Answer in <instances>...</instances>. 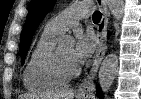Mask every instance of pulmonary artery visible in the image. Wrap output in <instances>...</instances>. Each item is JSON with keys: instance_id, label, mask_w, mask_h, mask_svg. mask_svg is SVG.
<instances>
[{"instance_id": "obj_1", "label": "pulmonary artery", "mask_w": 141, "mask_h": 99, "mask_svg": "<svg viewBox=\"0 0 141 99\" xmlns=\"http://www.w3.org/2000/svg\"><path fill=\"white\" fill-rule=\"evenodd\" d=\"M91 13L89 4H79L65 9L45 25L44 30L57 37L68 29L76 26L80 19L88 17Z\"/></svg>"}]
</instances>
